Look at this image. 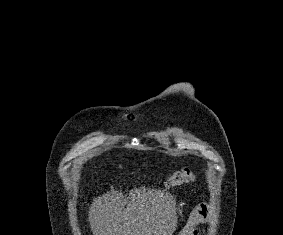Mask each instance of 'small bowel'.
Segmentation results:
<instances>
[{
    "label": "small bowel",
    "mask_w": 283,
    "mask_h": 235,
    "mask_svg": "<svg viewBox=\"0 0 283 235\" xmlns=\"http://www.w3.org/2000/svg\"><path fill=\"white\" fill-rule=\"evenodd\" d=\"M209 207L205 204L198 205L195 207L189 217L186 224V229L190 230L189 235H201L199 229H194L197 224L205 223L209 217Z\"/></svg>",
    "instance_id": "small-bowel-1"
}]
</instances>
